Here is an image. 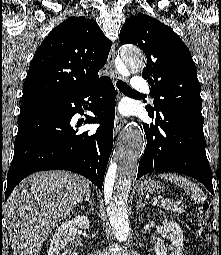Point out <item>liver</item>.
<instances>
[{"label":"liver","mask_w":221,"mask_h":255,"mask_svg":"<svg viewBox=\"0 0 221 255\" xmlns=\"http://www.w3.org/2000/svg\"><path fill=\"white\" fill-rule=\"evenodd\" d=\"M89 187L88 179L63 170L37 172L18 184L3 206L13 255H39Z\"/></svg>","instance_id":"obj_1"}]
</instances>
